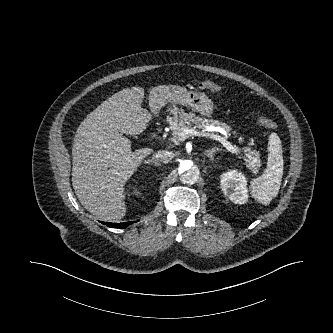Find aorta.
<instances>
[{"label": "aorta", "instance_id": "obj_1", "mask_svg": "<svg viewBox=\"0 0 333 333\" xmlns=\"http://www.w3.org/2000/svg\"><path fill=\"white\" fill-rule=\"evenodd\" d=\"M176 170L184 184H195L199 179V168L190 159H180L176 163Z\"/></svg>", "mask_w": 333, "mask_h": 333}]
</instances>
